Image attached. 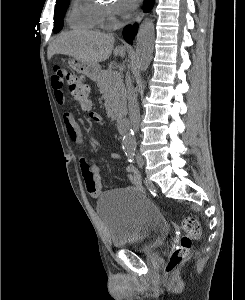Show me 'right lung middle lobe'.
Instances as JSON below:
<instances>
[{"label":"right lung middle lobe","mask_w":245,"mask_h":300,"mask_svg":"<svg viewBox=\"0 0 245 300\" xmlns=\"http://www.w3.org/2000/svg\"><path fill=\"white\" fill-rule=\"evenodd\" d=\"M69 5V0H59L56 2L54 15V33H58L63 27V18Z\"/></svg>","instance_id":"obj_1"}]
</instances>
